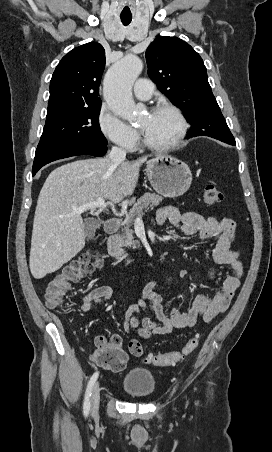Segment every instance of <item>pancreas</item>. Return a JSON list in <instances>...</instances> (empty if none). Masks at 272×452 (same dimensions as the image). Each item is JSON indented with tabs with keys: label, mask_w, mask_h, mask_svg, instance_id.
<instances>
[{
	"label": "pancreas",
	"mask_w": 272,
	"mask_h": 452,
	"mask_svg": "<svg viewBox=\"0 0 272 452\" xmlns=\"http://www.w3.org/2000/svg\"><path fill=\"white\" fill-rule=\"evenodd\" d=\"M163 200L162 196L155 193H146L141 196L132 209L126 214L125 220L122 222V234L119 236V244L123 247L137 249L140 247V242L134 239V231L131 228L136 216L141 217L144 209L156 207Z\"/></svg>",
	"instance_id": "obj_1"
}]
</instances>
